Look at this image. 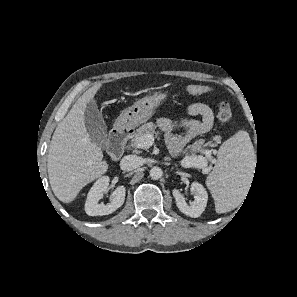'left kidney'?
Segmentation results:
<instances>
[{
    "mask_svg": "<svg viewBox=\"0 0 297 297\" xmlns=\"http://www.w3.org/2000/svg\"><path fill=\"white\" fill-rule=\"evenodd\" d=\"M191 191L195 193V200L190 205L185 201L184 196L177 190H173V196L176 200L178 209L187 216L192 218L199 217L207 205L208 193L202 184L193 182Z\"/></svg>",
    "mask_w": 297,
    "mask_h": 297,
    "instance_id": "obj_1",
    "label": "left kidney"
}]
</instances>
